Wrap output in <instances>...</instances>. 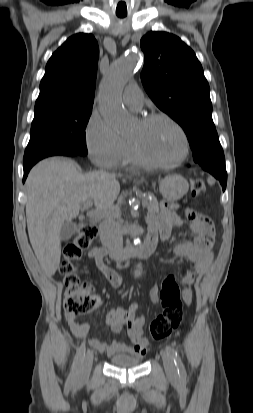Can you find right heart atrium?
Returning <instances> with one entry per match:
<instances>
[{
	"mask_svg": "<svg viewBox=\"0 0 253 413\" xmlns=\"http://www.w3.org/2000/svg\"><path fill=\"white\" fill-rule=\"evenodd\" d=\"M90 160L98 167L112 168L119 164L126 141L99 113L93 112L85 129Z\"/></svg>",
	"mask_w": 253,
	"mask_h": 413,
	"instance_id": "d8ad5b80",
	"label": "right heart atrium"
}]
</instances>
